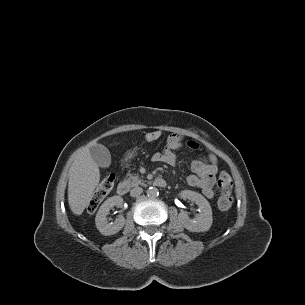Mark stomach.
Returning a JSON list of instances; mask_svg holds the SVG:
<instances>
[{"label": "stomach", "instance_id": "obj_1", "mask_svg": "<svg viewBox=\"0 0 305 305\" xmlns=\"http://www.w3.org/2000/svg\"><path fill=\"white\" fill-rule=\"evenodd\" d=\"M134 156V153L133 152H128L127 155H126V159H131L132 157Z\"/></svg>", "mask_w": 305, "mask_h": 305}]
</instances>
